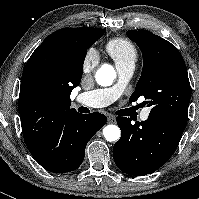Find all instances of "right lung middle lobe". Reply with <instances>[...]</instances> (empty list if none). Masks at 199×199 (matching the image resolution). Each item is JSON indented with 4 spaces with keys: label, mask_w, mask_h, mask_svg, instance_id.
Listing matches in <instances>:
<instances>
[{
    "label": "right lung middle lobe",
    "mask_w": 199,
    "mask_h": 199,
    "mask_svg": "<svg viewBox=\"0 0 199 199\" xmlns=\"http://www.w3.org/2000/svg\"><path fill=\"white\" fill-rule=\"evenodd\" d=\"M105 30H97L92 29L90 31H86L80 34L78 45L76 49V54L78 55V58L83 63L85 55L87 53V49L96 41L98 40L103 34Z\"/></svg>",
    "instance_id": "1"
}]
</instances>
